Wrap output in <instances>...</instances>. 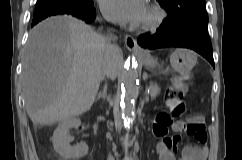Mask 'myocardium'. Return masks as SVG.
Returning <instances> with one entry per match:
<instances>
[{"instance_id":"myocardium-1","label":"myocardium","mask_w":242,"mask_h":160,"mask_svg":"<svg viewBox=\"0 0 242 160\" xmlns=\"http://www.w3.org/2000/svg\"><path fill=\"white\" fill-rule=\"evenodd\" d=\"M148 7L151 12V16L148 20L141 22L138 25V28L143 32H156L166 21L167 12L157 3H150Z\"/></svg>"}]
</instances>
